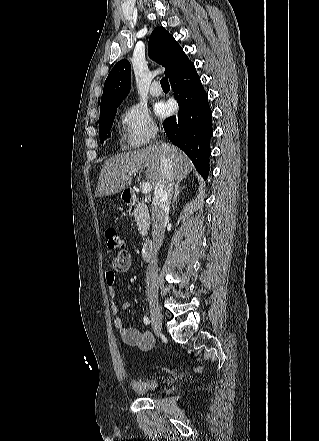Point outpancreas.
Segmentation results:
<instances>
[{
  "label": "pancreas",
  "mask_w": 319,
  "mask_h": 441,
  "mask_svg": "<svg viewBox=\"0 0 319 441\" xmlns=\"http://www.w3.org/2000/svg\"><path fill=\"white\" fill-rule=\"evenodd\" d=\"M135 221L137 222L138 230L144 238L148 234L150 227V215L147 205L144 202H139L133 212Z\"/></svg>",
  "instance_id": "pancreas-1"
}]
</instances>
